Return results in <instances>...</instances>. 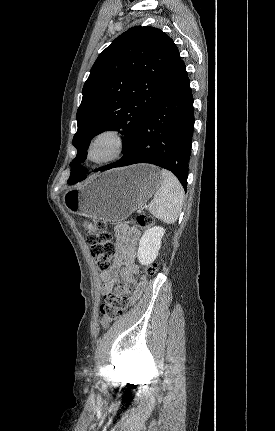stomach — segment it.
I'll use <instances>...</instances> for the list:
<instances>
[{"instance_id":"1","label":"stomach","mask_w":275,"mask_h":431,"mask_svg":"<svg viewBox=\"0 0 275 431\" xmlns=\"http://www.w3.org/2000/svg\"><path fill=\"white\" fill-rule=\"evenodd\" d=\"M160 170L137 164L106 171L76 190H67L63 203L72 214L117 222L141 208L159 189Z\"/></svg>"}]
</instances>
